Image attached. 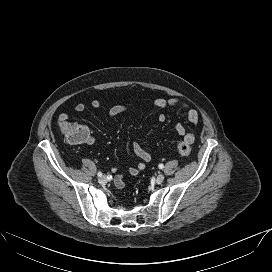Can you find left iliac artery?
I'll use <instances>...</instances> for the list:
<instances>
[{
	"mask_svg": "<svg viewBox=\"0 0 272 272\" xmlns=\"http://www.w3.org/2000/svg\"><path fill=\"white\" fill-rule=\"evenodd\" d=\"M158 167H159L160 169H163V168H164V165H163V164H159Z\"/></svg>",
	"mask_w": 272,
	"mask_h": 272,
	"instance_id": "1",
	"label": "left iliac artery"
}]
</instances>
